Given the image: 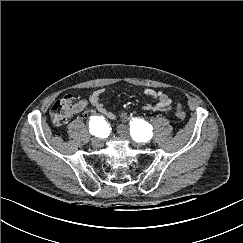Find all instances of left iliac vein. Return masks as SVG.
Masks as SVG:
<instances>
[{"label": "left iliac vein", "mask_w": 243, "mask_h": 243, "mask_svg": "<svg viewBox=\"0 0 243 243\" xmlns=\"http://www.w3.org/2000/svg\"><path fill=\"white\" fill-rule=\"evenodd\" d=\"M118 133L124 138V139H127V140H131L130 139V135H129V131L127 129L126 126L124 125H119L118 128ZM134 145H136L137 147L141 146L142 144L141 143H133Z\"/></svg>", "instance_id": "obj_1"}]
</instances>
